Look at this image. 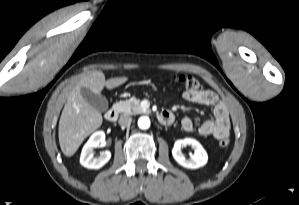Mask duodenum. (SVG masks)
I'll use <instances>...</instances> for the list:
<instances>
[{"mask_svg":"<svg viewBox=\"0 0 299 205\" xmlns=\"http://www.w3.org/2000/svg\"><path fill=\"white\" fill-rule=\"evenodd\" d=\"M118 114H119L118 109L115 107H112L105 113V118L109 122H114L118 118ZM158 119H159L160 123H162L164 125H169L173 122L174 116L169 111H163L160 113Z\"/></svg>","mask_w":299,"mask_h":205,"instance_id":"duodenum-1","label":"duodenum"}]
</instances>
